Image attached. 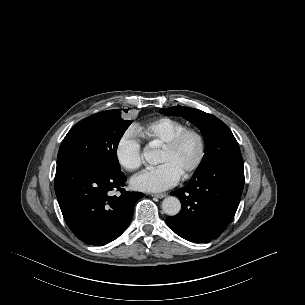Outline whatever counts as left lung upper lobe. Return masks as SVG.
<instances>
[{
	"label": "left lung upper lobe",
	"mask_w": 305,
	"mask_h": 305,
	"mask_svg": "<svg viewBox=\"0 0 305 305\" xmlns=\"http://www.w3.org/2000/svg\"><path fill=\"white\" fill-rule=\"evenodd\" d=\"M160 113L182 116L196 125L204 135L205 154L195 173L202 172L226 158L241 155L238 142L231 130L217 117L183 106L161 109Z\"/></svg>",
	"instance_id": "left-lung-upper-lobe-1"
}]
</instances>
